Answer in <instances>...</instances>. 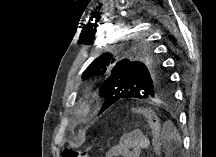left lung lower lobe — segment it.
Returning <instances> with one entry per match:
<instances>
[{
  "instance_id": "0a47b994",
  "label": "left lung lower lobe",
  "mask_w": 216,
  "mask_h": 157,
  "mask_svg": "<svg viewBox=\"0 0 216 157\" xmlns=\"http://www.w3.org/2000/svg\"><path fill=\"white\" fill-rule=\"evenodd\" d=\"M113 101V100H112ZM111 101V102H112ZM111 102L107 103V104H103L102 109L100 110V113H102L104 110H106L108 107H110L112 104ZM114 104V103H113Z\"/></svg>"
}]
</instances>
